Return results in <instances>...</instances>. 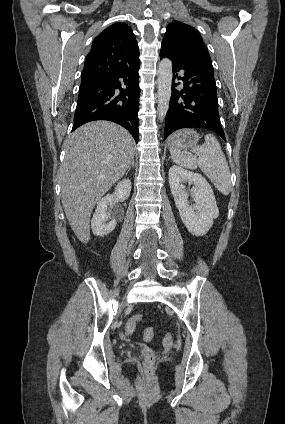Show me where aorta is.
<instances>
[{
	"label": "aorta",
	"mask_w": 285,
	"mask_h": 424,
	"mask_svg": "<svg viewBox=\"0 0 285 424\" xmlns=\"http://www.w3.org/2000/svg\"><path fill=\"white\" fill-rule=\"evenodd\" d=\"M172 62L168 58H164L159 63L158 68V118L160 121L166 116L169 109L172 86Z\"/></svg>",
	"instance_id": "1"
}]
</instances>
